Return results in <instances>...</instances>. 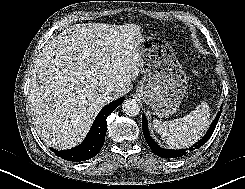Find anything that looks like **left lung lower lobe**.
I'll return each instance as SVG.
<instances>
[{
  "label": "left lung lower lobe",
  "mask_w": 245,
  "mask_h": 189,
  "mask_svg": "<svg viewBox=\"0 0 245 189\" xmlns=\"http://www.w3.org/2000/svg\"><path fill=\"white\" fill-rule=\"evenodd\" d=\"M222 107L220 108V111L218 112L215 120L212 122L209 130L205 134V136L196 144H194L192 147L189 148L190 151H193L194 149L200 148L202 145L205 144L206 141H208L209 137L212 135L215 126L219 120V117L221 115ZM142 130L144 137L146 139L147 144L151 148V150L159 157L162 158H176V157H181L187 153V149H179V150H169V149H164L161 148L150 136L149 131H148V123L145 115H142Z\"/></svg>",
  "instance_id": "left-lung-lower-lobe-1"
}]
</instances>
